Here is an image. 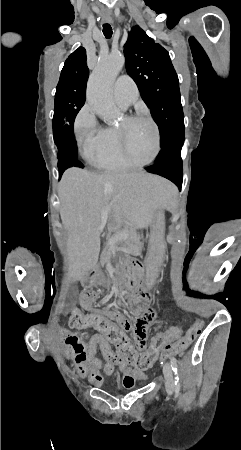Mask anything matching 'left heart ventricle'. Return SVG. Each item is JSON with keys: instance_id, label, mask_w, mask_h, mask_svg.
<instances>
[{"instance_id": "left-heart-ventricle-1", "label": "left heart ventricle", "mask_w": 241, "mask_h": 450, "mask_svg": "<svg viewBox=\"0 0 241 450\" xmlns=\"http://www.w3.org/2000/svg\"><path fill=\"white\" fill-rule=\"evenodd\" d=\"M136 121H129L124 138L125 152L129 153L127 164L130 169H139L145 164V160H152L154 121L147 113H140L135 117Z\"/></svg>"}]
</instances>
